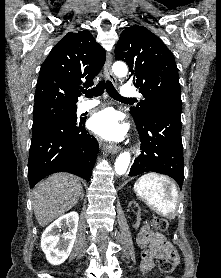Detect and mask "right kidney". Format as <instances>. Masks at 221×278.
Returning a JSON list of instances; mask_svg holds the SVG:
<instances>
[{
  "instance_id": "obj_1",
  "label": "right kidney",
  "mask_w": 221,
  "mask_h": 278,
  "mask_svg": "<svg viewBox=\"0 0 221 278\" xmlns=\"http://www.w3.org/2000/svg\"><path fill=\"white\" fill-rule=\"evenodd\" d=\"M78 221V213L70 212L58 218L43 232L41 248L50 264L60 265L69 257L76 239ZM63 225L69 227V232L63 235L57 234L58 229Z\"/></svg>"
}]
</instances>
